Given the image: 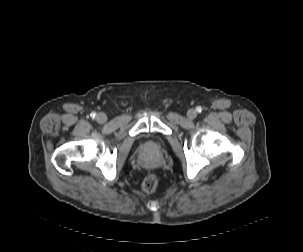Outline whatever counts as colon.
Masks as SVG:
<instances>
[{
    "label": "colon",
    "mask_w": 303,
    "mask_h": 252,
    "mask_svg": "<svg viewBox=\"0 0 303 252\" xmlns=\"http://www.w3.org/2000/svg\"><path fill=\"white\" fill-rule=\"evenodd\" d=\"M158 186V175L155 172L149 173L142 181V190L149 194Z\"/></svg>",
    "instance_id": "colon-1"
}]
</instances>
